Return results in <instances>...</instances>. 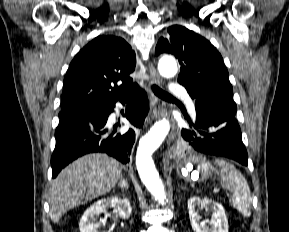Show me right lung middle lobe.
Masks as SVG:
<instances>
[{"instance_id": "dd1d6c3e", "label": "right lung middle lobe", "mask_w": 289, "mask_h": 232, "mask_svg": "<svg viewBox=\"0 0 289 232\" xmlns=\"http://www.w3.org/2000/svg\"><path fill=\"white\" fill-rule=\"evenodd\" d=\"M91 109L92 108L61 111L59 113V118L60 119L73 118V117H76V116H80V115L86 114Z\"/></svg>"}]
</instances>
